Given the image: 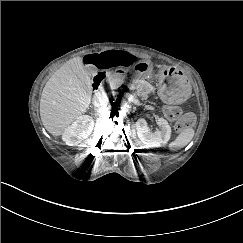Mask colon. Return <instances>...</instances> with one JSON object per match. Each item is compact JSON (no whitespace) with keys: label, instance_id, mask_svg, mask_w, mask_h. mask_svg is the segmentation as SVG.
Returning <instances> with one entry per match:
<instances>
[{"label":"colon","instance_id":"colon-1","mask_svg":"<svg viewBox=\"0 0 243 243\" xmlns=\"http://www.w3.org/2000/svg\"><path fill=\"white\" fill-rule=\"evenodd\" d=\"M163 112L167 119L178 120L176 124V130L179 132L190 128L194 124V115L191 113L182 115L181 109L176 105H168L164 107Z\"/></svg>","mask_w":243,"mask_h":243}]
</instances>
